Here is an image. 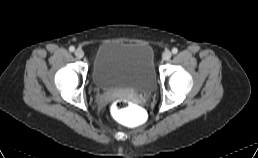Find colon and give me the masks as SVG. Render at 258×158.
<instances>
[{
    "label": "colon",
    "mask_w": 258,
    "mask_h": 158,
    "mask_svg": "<svg viewBox=\"0 0 258 158\" xmlns=\"http://www.w3.org/2000/svg\"><path fill=\"white\" fill-rule=\"evenodd\" d=\"M129 104L125 100H116L111 105L112 114L119 116L128 108Z\"/></svg>",
    "instance_id": "1"
}]
</instances>
